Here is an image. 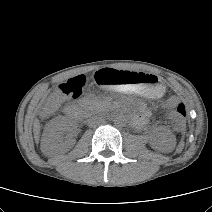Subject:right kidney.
<instances>
[{"instance_id":"ca27d5eb","label":"right kidney","mask_w":212,"mask_h":212,"mask_svg":"<svg viewBox=\"0 0 212 212\" xmlns=\"http://www.w3.org/2000/svg\"><path fill=\"white\" fill-rule=\"evenodd\" d=\"M64 126L65 124H57L53 130L44 132L41 142V150L44 153H49L54 150L65 152L75 144L74 139L62 140L61 131Z\"/></svg>"}]
</instances>
